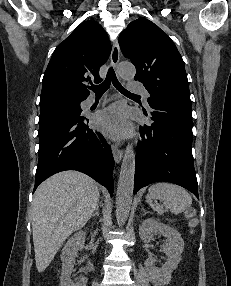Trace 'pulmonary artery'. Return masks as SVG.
Wrapping results in <instances>:
<instances>
[{
  "mask_svg": "<svg viewBox=\"0 0 231 286\" xmlns=\"http://www.w3.org/2000/svg\"><path fill=\"white\" fill-rule=\"evenodd\" d=\"M129 90L133 93L142 94L145 97V99L149 98L148 91L144 88V86L141 83L137 81H131L129 83ZM96 102L97 100L94 97H89L85 102V106L90 107Z\"/></svg>",
  "mask_w": 231,
  "mask_h": 286,
  "instance_id": "pulmonary-artery-1",
  "label": "pulmonary artery"
}]
</instances>
